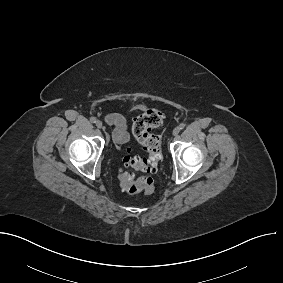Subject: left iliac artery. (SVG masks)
Here are the masks:
<instances>
[{
    "label": "left iliac artery",
    "mask_w": 283,
    "mask_h": 283,
    "mask_svg": "<svg viewBox=\"0 0 283 283\" xmlns=\"http://www.w3.org/2000/svg\"><path fill=\"white\" fill-rule=\"evenodd\" d=\"M185 126H186V124H184V123H181L180 125H179V129H184L185 128Z\"/></svg>",
    "instance_id": "obj_1"
}]
</instances>
